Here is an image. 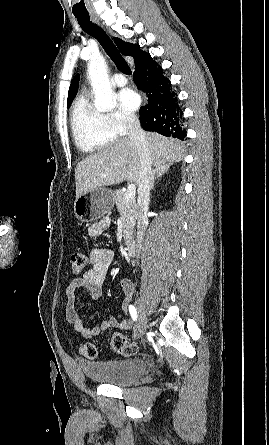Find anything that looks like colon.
<instances>
[{
	"mask_svg": "<svg viewBox=\"0 0 269 445\" xmlns=\"http://www.w3.org/2000/svg\"><path fill=\"white\" fill-rule=\"evenodd\" d=\"M70 262L74 273H81L87 265L86 255L74 250L70 254ZM112 348L124 356H133L137 353V346L127 341L121 334H114L112 337ZM81 354L88 359H95L98 356V348L93 342H84L80 347Z\"/></svg>",
	"mask_w": 269,
	"mask_h": 445,
	"instance_id": "colon-1",
	"label": "colon"
}]
</instances>
